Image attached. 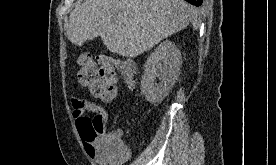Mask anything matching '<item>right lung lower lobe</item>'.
Here are the masks:
<instances>
[{
    "label": "right lung lower lobe",
    "mask_w": 276,
    "mask_h": 165,
    "mask_svg": "<svg viewBox=\"0 0 276 165\" xmlns=\"http://www.w3.org/2000/svg\"><path fill=\"white\" fill-rule=\"evenodd\" d=\"M186 1L193 4L196 7L200 6L203 2V0H186Z\"/></svg>",
    "instance_id": "obj_1"
}]
</instances>
